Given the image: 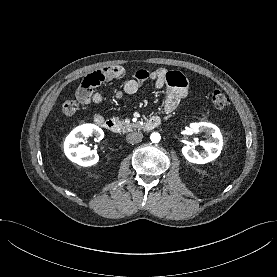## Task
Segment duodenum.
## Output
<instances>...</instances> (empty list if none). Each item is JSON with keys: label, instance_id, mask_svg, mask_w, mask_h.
Returning <instances> with one entry per match:
<instances>
[{"label": "duodenum", "instance_id": "410a0bca", "mask_svg": "<svg viewBox=\"0 0 277 277\" xmlns=\"http://www.w3.org/2000/svg\"><path fill=\"white\" fill-rule=\"evenodd\" d=\"M160 123H161L160 118L158 116H153L145 122L144 129L147 131L152 130L157 126H159ZM96 124L101 128L107 131H110L112 133H117L119 131L118 124L112 119L101 118L96 122Z\"/></svg>", "mask_w": 277, "mask_h": 277}]
</instances>
